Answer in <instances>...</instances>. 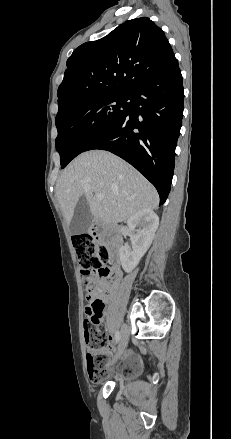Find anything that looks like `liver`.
<instances>
[{"label": "liver", "instance_id": "liver-1", "mask_svg": "<svg viewBox=\"0 0 231 439\" xmlns=\"http://www.w3.org/2000/svg\"><path fill=\"white\" fill-rule=\"evenodd\" d=\"M93 193H101L98 200ZM85 194L91 214L107 223L117 224L143 209H156L159 195L134 167L103 150L81 153L62 172L56 195L67 225Z\"/></svg>", "mask_w": 231, "mask_h": 439}]
</instances>
